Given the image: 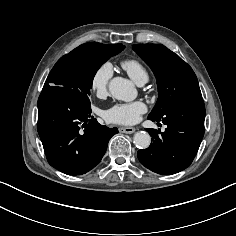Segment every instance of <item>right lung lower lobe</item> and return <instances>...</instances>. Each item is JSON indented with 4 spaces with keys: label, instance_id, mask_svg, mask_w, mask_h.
<instances>
[{
    "label": "right lung lower lobe",
    "instance_id": "98d812e1",
    "mask_svg": "<svg viewBox=\"0 0 236 236\" xmlns=\"http://www.w3.org/2000/svg\"><path fill=\"white\" fill-rule=\"evenodd\" d=\"M37 130L49 164L68 175L93 169L118 133L99 124L89 105L58 86L43 89L39 96Z\"/></svg>",
    "mask_w": 236,
    "mask_h": 236
}]
</instances>
